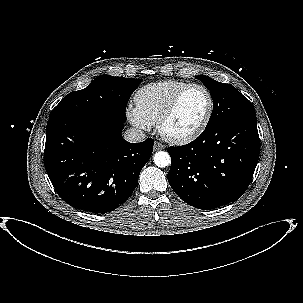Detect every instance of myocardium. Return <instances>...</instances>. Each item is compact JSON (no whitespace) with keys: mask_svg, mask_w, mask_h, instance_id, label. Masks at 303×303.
I'll use <instances>...</instances> for the list:
<instances>
[{"mask_svg":"<svg viewBox=\"0 0 303 303\" xmlns=\"http://www.w3.org/2000/svg\"><path fill=\"white\" fill-rule=\"evenodd\" d=\"M192 88H199L206 94V97L208 100V107H207V110H206V113H205L203 119L201 120L200 124L194 130H192L191 132H189L187 134H183V135L168 134L165 131L166 123L174 115V113H175L176 109L178 108L184 95ZM213 110H214V101H213V97H212V94L210 93V91L202 84L190 83L187 86H185L184 88H182L174 96V98L171 100V102L168 104V106L162 112V114L160 115V117L157 121V130H158L159 134L165 140H167L173 144L182 145V144L190 143V142L194 141L195 139H197L205 131V129L207 128V126L211 120Z\"/></svg>","mask_w":303,"mask_h":303,"instance_id":"1","label":"myocardium"}]
</instances>
